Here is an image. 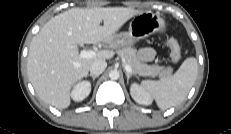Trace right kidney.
I'll use <instances>...</instances> for the list:
<instances>
[{"mask_svg":"<svg viewBox=\"0 0 231 134\" xmlns=\"http://www.w3.org/2000/svg\"><path fill=\"white\" fill-rule=\"evenodd\" d=\"M90 91L91 84L88 81H81L74 86L71 97L74 101L80 102L90 94Z\"/></svg>","mask_w":231,"mask_h":134,"instance_id":"1","label":"right kidney"}]
</instances>
